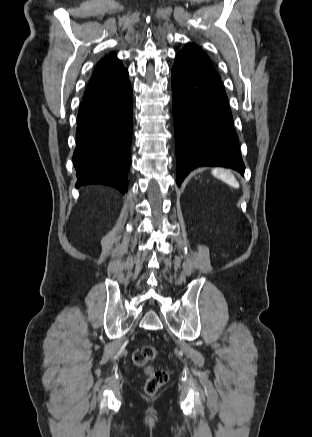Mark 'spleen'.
Masks as SVG:
<instances>
[{
	"label": "spleen",
	"mask_w": 312,
	"mask_h": 437,
	"mask_svg": "<svg viewBox=\"0 0 312 437\" xmlns=\"http://www.w3.org/2000/svg\"><path fill=\"white\" fill-rule=\"evenodd\" d=\"M212 174L234 188L239 187L238 181L230 171L213 169Z\"/></svg>",
	"instance_id": "1"
}]
</instances>
